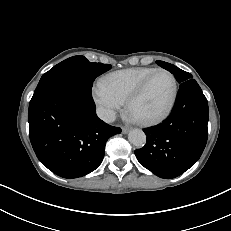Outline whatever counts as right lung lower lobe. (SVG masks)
I'll list each match as a JSON object with an SVG mask.
<instances>
[{
    "label": "right lung lower lobe",
    "mask_w": 231,
    "mask_h": 231,
    "mask_svg": "<svg viewBox=\"0 0 231 231\" xmlns=\"http://www.w3.org/2000/svg\"><path fill=\"white\" fill-rule=\"evenodd\" d=\"M91 93L61 83L30 101L32 147L58 176L77 178L94 171L103 160L108 138L121 132L97 117Z\"/></svg>",
    "instance_id": "right-lung-lower-lobe-1"
}]
</instances>
